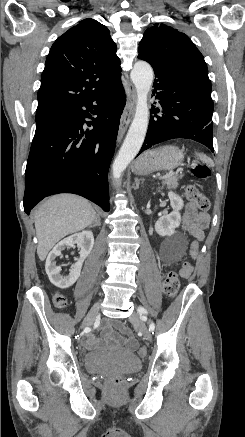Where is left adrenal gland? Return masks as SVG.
<instances>
[{"mask_svg": "<svg viewBox=\"0 0 245 437\" xmlns=\"http://www.w3.org/2000/svg\"><path fill=\"white\" fill-rule=\"evenodd\" d=\"M139 184H140V179L135 178V187H134L135 190H137L139 188Z\"/></svg>", "mask_w": 245, "mask_h": 437, "instance_id": "obj_1", "label": "left adrenal gland"}]
</instances>
